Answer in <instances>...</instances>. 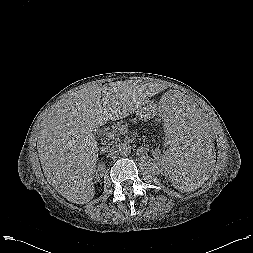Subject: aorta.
<instances>
[{
	"instance_id": "1",
	"label": "aorta",
	"mask_w": 253,
	"mask_h": 253,
	"mask_svg": "<svg viewBox=\"0 0 253 253\" xmlns=\"http://www.w3.org/2000/svg\"><path fill=\"white\" fill-rule=\"evenodd\" d=\"M118 152L122 156H127L131 153V146L127 142L121 143L118 146Z\"/></svg>"
}]
</instances>
